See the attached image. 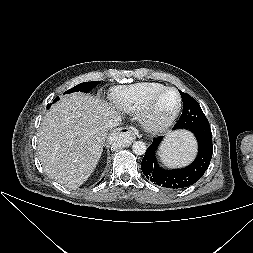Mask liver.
<instances>
[{
  "instance_id": "6515ba94",
  "label": "liver",
  "mask_w": 253,
  "mask_h": 253,
  "mask_svg": "<svg viewBox=\"0 0 253 253\" xmlns=\"http://www.w3.org/2000/svg\"><path fill=\"white\" fill-rule=\"evenodd\" d=\"M114 108L83 93L63 96L42 120L38 155L46 174L70 189L88 180L101 157Z\"/></svg>"
}]
</instances>
